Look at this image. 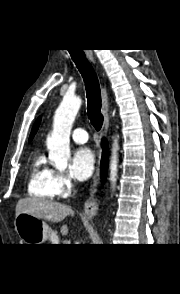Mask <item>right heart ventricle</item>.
I'll return each mask as SVG.
<instances>
[{
    "label": "right heart ventricle",
    "mask_w": 180,
    "mask_h": 294,
    "mask_svg": "<svg viewBox=\"0 0 180 294\" xmlns=\"http://www.w3.org/2000/svg\"><path fill=\"white\" fill-rule=\"evenodd\" d=\"M27 191L30 196L40 199L57 196L55 171L47 164L42 153L37 154L31 163Z\"/></svg>",
    "instance_id": "e07e8e85"
}]
</instances>
